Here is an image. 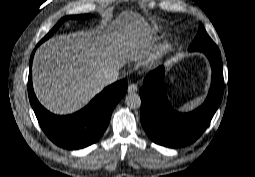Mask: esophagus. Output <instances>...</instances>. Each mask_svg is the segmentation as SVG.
<instances>
[{"label": "esophagus", "instance_id": "esophagus-1", "mask_svg": "<svg viewBox=\"0 0 255 177\" xmlns=\"http://www.w3.org/2000/svg\"><path fill=\"white\" fill-rule=\"evenodd\" d=\"M137 90H138V87H137L136 84H130V85L128 86V93H130V94L136 93Z\"/></svg>", "mask_w": 255, "mask_h": 177}]
</instances>
